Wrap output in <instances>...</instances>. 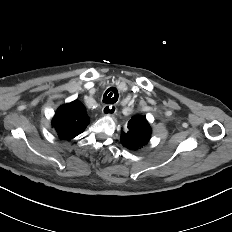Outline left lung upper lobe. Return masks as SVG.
Returning a JSON list of instances; mask_svg holds the SVG:
<instances>
[{
    "label": "left lung upper lobe",
    "mask_w": 232,
    "mask_h": 232,
    "mask_svg": "<svg viewBox=\"0 0 232 232\" xmlns=\"http://www.w3.org/2000/svg\"><path fill=\"white\" fill-rule=\"evenodd\" d=\"M127 131L122 132L121 143L129 150H137L146 145L151 136V127L145 117L134 116L128 122Z\"/></svg>",
    "instance_id": "1"
}]
</instances>
